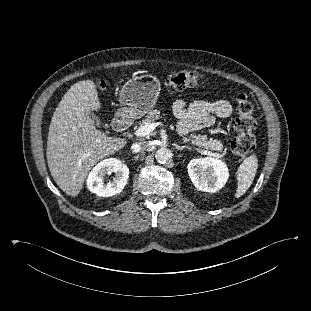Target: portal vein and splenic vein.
Masks as SVG:
<instances>
[{"instance_id":"1","label":"portal vein and splenic vein","mask_w":311,"mask_h":311,"mask_svg":"<svg viewBox=\"0 0 311 311\" xmlns=\"http://www.w3.org/2000/svg\"><path fill=\"white\" fill-rule=\"evenodd\" d=\"M160 123L159 122H157V123H147V124H145V125H143V126H141L140 128H138L136 131H135V135L137 136V137H147V136H149L154 130H155V128L159 125ZM201 152H203L204 154H210V155H214V154H212V153H210V152H206V151H203V150H201ZM217 156H220L221 157V155H217Z\"/></svg>"}]
</instances>
